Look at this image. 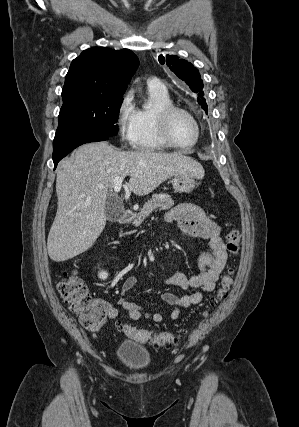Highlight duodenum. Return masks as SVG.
Segmentation results:
<instances>
[{"mask_svg": "<svg viewBox=\"0 0 299 427\" xmlns=\"http://www.w3.org/2000/svg\"><path fill=\"white\" fill-rule=\"evenodd\" d=\"M132 216H133V214L130 210H125L123 213L122 219H121V223L123 225L128 224L131 221Z\"/></svg>", "mask_w": 299, "mask_h": 427, "instance_id": "duodenum-1", "label": "duodenum"}]
</instances>
